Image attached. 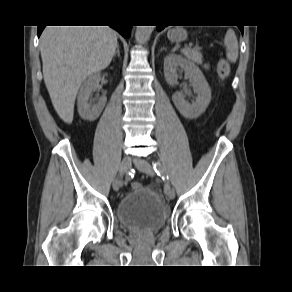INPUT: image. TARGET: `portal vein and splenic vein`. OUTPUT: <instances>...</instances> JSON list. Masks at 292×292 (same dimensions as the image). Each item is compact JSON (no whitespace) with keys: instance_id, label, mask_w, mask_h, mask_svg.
<instances>
[{"instance_id":"1","label":"portal vein and splenic vein","mask_w":292,"mask_h":292,"mask_svg":"<svg viewBox=\"0 0 292 292\" xmlns=\"http://www.w3.org/2000/svg\"><path fill=\"white\" fill-rule=\"evenodd\" d=\"M187 50V48H184L182 51H186Z\"/></svg>"}]
</instances>
